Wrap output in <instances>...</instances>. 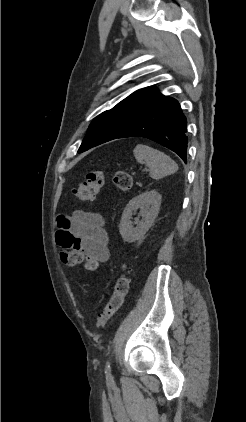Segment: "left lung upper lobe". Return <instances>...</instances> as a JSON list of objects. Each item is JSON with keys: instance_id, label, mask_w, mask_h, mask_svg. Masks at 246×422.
Here are the masks:
<instances>
[{"instance_id": "5c2ea615", "label": "left lung upper lobe", "mask_w": 246, "mask_h": 422, "mask_svg": "<svg viewBox=\"0 0 246 422\" xmlns=\"http://www.w3.org/2000/svg\"><path fill=\"white\" fill-rule=\"evenodd\" d=\"M164 95L155 87L139 89L93 119L78 150L84 152L92 147L118 138L137 120L153 108Z\"/></svg>"}]
</instances>
